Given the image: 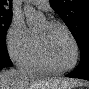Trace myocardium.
<instances>
[{
  "instance_id": "f54148a6",
  "label": "myocardium",
  "mask_w": 89,
  "mask_h": 89,
  "mask_svg": "<svg viewBox=\"0 0 89 89\" xmlns=\"http://www.w3.org/2000/svg\"><path fill=\"white\" fill-rule=\"evenodd\" d=\"M49 23L56 25V26H59L66 31V33L68 34V36L71 39L73 46H74V60H73L72 64L68 67L60 68V69L53 67L50 64V62H49V60H48V58H47V56H46V54L43 50L42 44H41L37 34H35L36 49H37V52H38V55H39L41 61L43 62V64L46 66V68L51 73L62 74V73H65L69 70L74 69L76 67V65L78 64V61H79V46H78L77 40H76L75 36L73 35L72 31L70 30V28L65 23L58 21V20H50Z\"/></svg>"
}]
</instances>
